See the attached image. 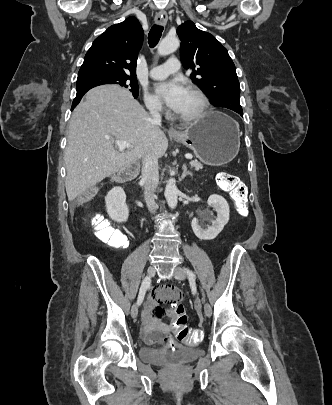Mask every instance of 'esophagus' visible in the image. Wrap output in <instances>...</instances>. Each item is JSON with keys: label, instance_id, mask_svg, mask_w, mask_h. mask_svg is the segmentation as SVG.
<instances>
[{"label": "esophagus", "instance_id": "esophagus-1", "mask_svg": "<svg viewBox=\"0 0 332 405\" xmlns=\"http://www.w3.org/2000/svg\"><path fill=\"white\" fill-rule=\"evenodd\" d=\"M168 20V16L167 13L165 11H160L156 14L155 16V22L159 25H164L167 23ZM171 134L175 135L177 134V131L175 130H171L170 131Z\"/></svg>", "mask_w": 332, "mask_h": 405}]
</instances>
